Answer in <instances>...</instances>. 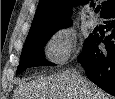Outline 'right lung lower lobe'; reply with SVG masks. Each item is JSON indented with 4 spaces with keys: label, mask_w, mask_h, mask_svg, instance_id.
Returning a JSON list of instances; mask_svg holds the SVG:
<instances>
[{
    "label": "right lung lower lobe",
    "mask_w": 115,
    "mask_h": 99,
    "mask_svg": "<svg viewBox=\"0 0 115 99\" xmlns=\"http://www.w3.org/2000/svg\"><path fill=\"white\" fill-rule=\"evenodd\" d=\"M106 31L110 32L104 40L98 35H91L79 56L88 78L101 89L115 96V10L104 15ZM105 44L99 49L100 42Z\"/></svg>",
    "instance_id": "right-lung-lower-lobe-1"
}]
</instances>
